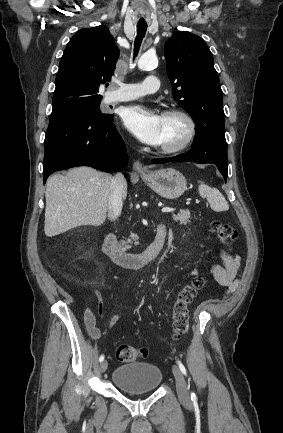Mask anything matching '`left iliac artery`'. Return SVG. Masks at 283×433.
<instances>
[{"label": "left iliac artery", "mask_w": 283, "mask_h": 433, "mask_svg": "<svg viewBox=\"0 0 283 433\" xmlns=\"http://www.w3.org/2000/svg\"><path fill=\"white\" fill-rule=\"evenodd\" d=\"M177 363H178V365H179V368H180L181 372H182L184 375H187L186 368H185V366L183 365V363H182L180 360H178ZM194 399H196V395H195V393H191V400H194Z\"/></svg>", "instance_id": "1"}]
</instances>
